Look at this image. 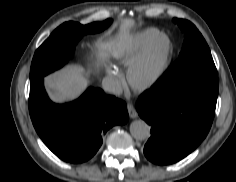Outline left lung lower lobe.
<instances>
[{"label": "left lung lower lobe", "mask_w": 236, "mask_h": 182, "mask_svg": "<svg viewBox=\"0 0 236 182\" xmlns=\"http://www.w3.org/2000/svg\"><path fill=\"white\" fill-rule=\"evenodd\" d=\"M217 96L189 89L165 92L159 85L142 94L136 109L151 126L146 158L167 165L195 150L210 130Z\"/></svg>", "instance_id": "0a47b994"}]
</instances>
